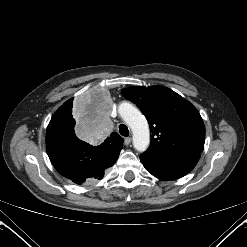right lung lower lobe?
Returning a JSON list of instances; mask_svg holds the SVG:
<instances>
[{
  "instance_id": "98d812e1",
  "label": "right lung lower lobe",
  "mask_w": 247,
  "mask_h": 247,
  "mask_svg": "<svg viewBox=\"0 0 247 247\" xmlns=\"http://www.w3.org/2000/svg\"><path fill=\"white\" fill-rule=\"evenodd\" d=\"M46 148L55 169L76 184L102 179L105 170L116 162L122 149L103 143L89 145L79 140L74 130L50 124L46 133Z\"/></svg>"
}]
</instances>
